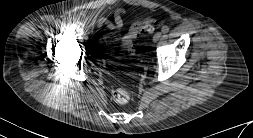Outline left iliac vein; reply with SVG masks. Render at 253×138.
Segmentation results:
<instances>
[{
  "label": "left iliac vein",
  "mask_w": 253,
  "mask_h": 138,
  "mask_svg": "<svg viewBox=\"0 0 253 138\" xmlns=\"http://www.w3.org/2000/svg\"><path fill=\"white\" fill-rule=\"evenodd\" d=\"M160 38H161V33L160 32L155 33L153 36V42L156 43Z\"/></svg>",
  "instance_id": "left-iliac-vein-1"
}]
</instances>
